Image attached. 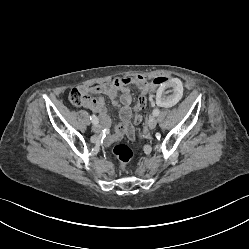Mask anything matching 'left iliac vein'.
Instances as JSON below:
<instances>
[{
	"label": "left iliac vein",
	"instance_id": "4c4485c4",
	"mask_svg": "<svg viewBox=\"0 0 249 249\" xmlns=\"http://www.w3.org/2000/svg\"><path fill=\"white\" fill-rule=\"evenodd\" d=\"M156 125H157V119L154 116L150 117V119L148 120L149 129H154Z\"/></svg>",
	"mask_w": 249,
	"mask_h": 249
}]
</instances>
